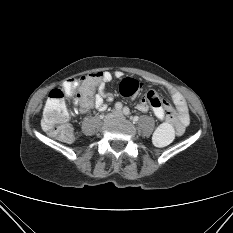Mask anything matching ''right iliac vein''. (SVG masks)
<instances>
[{
	"label": "right iliac vein",
	"mask_w": 233,
	"mask_h": 233,
	"mask_svg": "<svg viewBox=\"0 0 233 233\" xmlns=\"http://www.w3.org/2000/svg\"><path fill=\"white\" fill-rule=\"evenodd\" d=\"M112 118H113V115H109V116L106 117V120H110Z\"/></svg>",
	"instance_id": "right-iliac-vein-1"
}]
</instances>
